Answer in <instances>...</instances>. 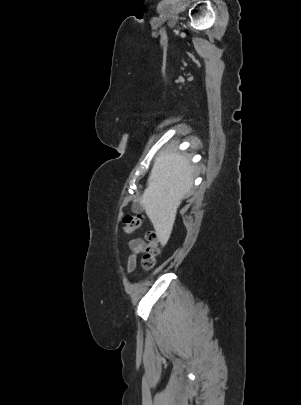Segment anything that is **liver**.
Returning a JSON list of instances; mask_svg holds the SVG:
<instances>
[{"label": "liver", "mask_w": 301, "mask_h": 405, "mask_svg": "<svg viewBox=\"0 0 301 405\" xmlns=\"http://www.w3.org/2000/svg\"><path fill=\"white\" fill-rule=\"evenodd\" d=\"M193 186V166L176 147H167L154 161L140 203L165 245L171 235L177 209Z\"/></svg>", "instance_id": "obj_1"}]
</instances>
